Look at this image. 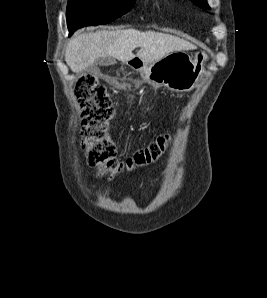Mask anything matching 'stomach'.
I'll list each match as a JSON object with an SVG mask.
<instances>
[{"instance_id":"0dacf381","label":"stomach","mask_w":267,"mask_h":298,"mask_svg":"<svg viewBox=\"0 0 267 298\" xmlns=\"http://www.w3.org/2000/svg\"><path fill=\"white\" fill-rule=\"evenodd\" d=\"M207 60L208 55L204 52H197L194 57L185 52H174L154 63L139 59L137 70L149 84L165 86L174 92H188L205 74Z\"/></svg>"}]
</instances>
